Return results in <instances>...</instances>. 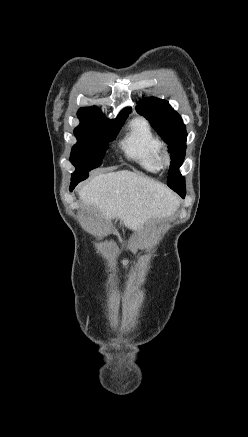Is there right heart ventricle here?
Returning <instances> with one entry per match:
<instances>
[{
	"mask_svg": "<svg viewBox=\"0 0 248 437\" xmlns=\"http://www.w3.org/2000/svg\"><path fill=\"white\" fill-rule=\"evenodd\" d=\"M121 147L126 156L145 171L157 173L162 169V143L146 119L136 118L130 122Z\"/></svg>",
	"mask_w": 248,
	"mask_h": 437,
	"instance_id": "right-heart-ventricle-1",
	"label": "right heart ventricle"
}]
</instances>
